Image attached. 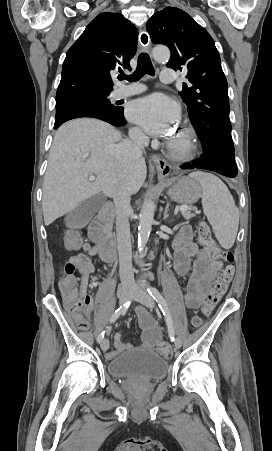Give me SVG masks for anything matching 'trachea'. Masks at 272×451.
Returning <instances> with one entry per match:
<instances>
[{
	"instance_id": "1",
	"label": "trachea",
	"mask_w": 272,
	"mask_h": 451,
	"mask_svg": "<svg viewBox=\"0 0 272 451\" xmlns=\"http://www.w3.org/2000/svg\"><path fill=\"white\" fill-rule=\"evenodd\" d=\"M154 73H155L154 67L152 65L149 55L147 53H141V55H139L138 58V65L135 72L129 76L125 75L124 73H121L118 76V79L125 80L127 78L129 81L136 82L137 80H140V78H142L144 75L146 74L154 75Z\"/></svg>"
}]
</instances>
